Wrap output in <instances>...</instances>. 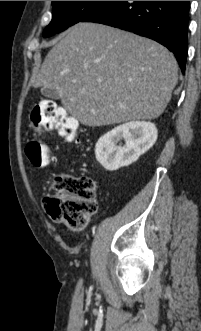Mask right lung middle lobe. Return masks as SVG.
I'll return each mask as SVG.
<instances>
[{
  "label": "right lung middle lobe",
  "instance_id": "right-lung-middle-lobe-1",
  "mask_svg": "<svg viewBox=\"0 0 201 331\" xmlns=\"http://www.w3.org/2000/svg\"><path fill=\"white\" fill-rule=\"evenodd\" d=\"M107 1H52V20L43 32L44 37L59 33L82 21Z\"/></svg>",
  "mask_w": 201,
  "mask_h": 331
}]
</instances>
